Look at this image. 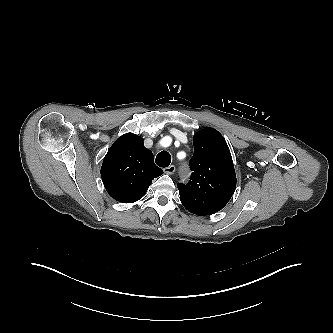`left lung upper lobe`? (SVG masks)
I'll list each match as a JSON object with an SVG mask.
<instances>
[{"mask_svg": "<svg viewBox=\"0 0 333 333\" xmlns=\"http://www.w3.org/2000/svg\"><path fill=\"white\" fill-rule=\"evenodd\" d=\"M193 171L187 184H178L180 200L191 213L205 216L225 207L236 188V174L229 147L213 128L193 137Z\"/></svg>", "mask_w": 333, "mask_h": 333, "instance_id": "5c2ea615", "label": "left lung upper lobe"}]
</instances>
